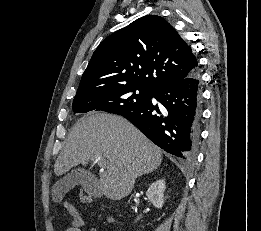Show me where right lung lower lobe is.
<instances>
[{
	"label": "right lung lower lobe",
	"instance_id": "98d812e1",
	"mask_svg": "<svg viewBox=\"0 0 261 231\" xmlns=\"http://www.w3.org/2000/svg\"><path fill=\"white\" fill-rule=\"evenodd\" d=\"M156 98L161 106L152 103ZM149 102L122 114L152 142L185 160L195 156L199 138L201 85L198 70L183 79L161 84Z\"/></svg>",
	"mask_w": 261,
	"mask_h": 231
}]
</instances>
